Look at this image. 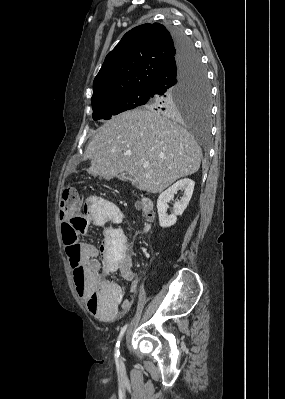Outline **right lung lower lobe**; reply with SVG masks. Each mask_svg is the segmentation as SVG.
<instances>
[{"label":"right lung lower lobe","mask_w":285,"mask_h":399,"mask_svg":"<svg viewBox=\"0 0 285 399\" xmlns=\"http://www.w3.org/2000/svg\"><path fill=\"white\" fill-rule=\"evenodd\" d=\"M170 32L175 43L176 56L156 76L150 88L152 93L164 96L170 88L180 82L186 69L197 58L193 43L186 38L183 31L171 29Z\"/></svg>","instance_id":"obj_1"}]
</instances>
